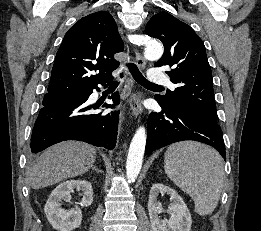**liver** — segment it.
Masks as SVG:
<instances>
[{
    "instance_id": "liver-1",
    "label": "liver",
    "mask_w": 261,
    "mask_h": 231,
    "mask_svg": "<svg viewBox=\"0 0 261 231\" xmlns=\"http://www.w3.org/2000/svg\"><path fill=\"white\" fill-rule=\"evenodd\" d=\"M96 160L95 148L66 141L45 150L28 172L30 186L37 190L87 172Z\"/></svg>"
}]
</instances>
